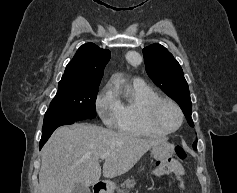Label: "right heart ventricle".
I'll return each instance as SVG.
<instances>
[{"label": "right heart ventricle", "mask_w": 237, "mask_h": 193, "mask_svg": "<svg viewBox=\"0 0 237 193\" xmlns=\"http://www.w3.org/2000/svg\"><path fill=\"white\" fill-rule=\"evenodd\" d=\"M157 97V92L141 80H134L126 84L122 97L116 98L118 111L113 127L133 136L158 137L165 135L148 126L144 119L146 106Z\"/></svg>", "instance_id": "e07e8e85"}]
</instances>
